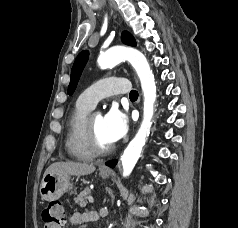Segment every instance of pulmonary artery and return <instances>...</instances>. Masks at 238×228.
Returning <instances> with one entry per match:
<instances>
[{"instance_id":"1","label":"pulmonary artery","mask_w":238,"mask_h":228,"mask_svg":"<svg viewBox=\"0 0 238 228\" xmlns=\"http://www.w3.org/2000/svg\"><path fill=\"white\" fill-rule=\"evenodd\" d=\"M129 89L128 80L118 77H106L83 91L79 96V100L93 108L99 100L116 94H126Z\"/></svg>"}]
</instances>
